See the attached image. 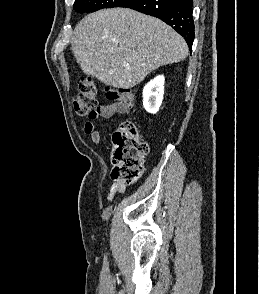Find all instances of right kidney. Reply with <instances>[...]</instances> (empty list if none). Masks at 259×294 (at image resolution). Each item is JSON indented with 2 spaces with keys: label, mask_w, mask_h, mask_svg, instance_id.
I'll use <instances>...</instances> for the list:
<instances>
[{
  "label": "right kidney",
  "mask_w": 259,
  "mask_h": 294,
  "mask_svg": "<svg viewBox=\"0 0 259 294\" xmlns=\"http://www.w3.org/2000/svg\"><path fill=\"white\" fill-rule=\"evenodd\" d=\"M165 78L159 75L147 83L143 89V106L151 114L158 112L164 95Z\"/></svg>",
  "instance_id": "1"
}]
</instances>
